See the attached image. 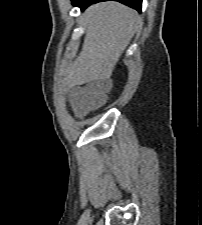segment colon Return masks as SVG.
Wrapping results in <instances>:
<instances>
[{"label": "colon", "mask_w": 202, "mask_h": 225, "mask_svg": "<svg viewBox=\"0 0 202 225\" xmlns=\"http://www.w3.org/2000/svg\"><path fill=\"white\" fill-rule=\"evenodd\" d=\"M86 90L90 95V105L95 107L105 102L112 88L109 86L90 84L86 86Z\"/></svg>", "instance_id": "1"}]
</instances>
